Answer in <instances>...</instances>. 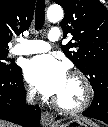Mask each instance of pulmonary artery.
<instances>
[{
  "instance_id": "e3ab8cb5",
  "label": "pulmonary artery",
  "mask_w": 108,
  "mask_h": 127,
  "mask_svg": "<svg viewBox=\"0 0 108 127\" xmlns=\"http://www.w3.org/2000/svg\"><path fill=\"white\" fill-rule=\"evenodd\" d=\"M48 39L52 42L58 41L60 39L59 29H51L48 34ZM49 49V43L43 40H22L12 49V53L15 55H29L47 52Z\"/></svg>"
}]
</instances>
